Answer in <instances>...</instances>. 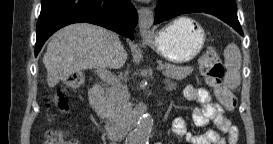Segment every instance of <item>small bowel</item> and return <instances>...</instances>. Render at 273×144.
<instances>
[{"label":"small bowel","instance_id":"obj_1","mask_svg":"<svg viewBox=\"0 0 273 144\" xmlns=\"http://www.w3.org/2000/svg\"><path fill=\"white\" fill-rule=\"evenodd\" d=\"M188 100L196 101L199 106L193 111L192 119L196 127L204 128L212 124L214 129L193 134L187 130L185 120L177 117L173 120L171 131L176 138L187 144H223L227 137L229 143L238 140V130L225 115L224 108L212 100L210 92L201 86H190L185 92Z\"/></svg>","mask_w":273,"mask_h":144}]
</instances>
